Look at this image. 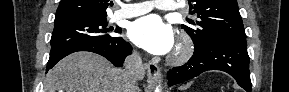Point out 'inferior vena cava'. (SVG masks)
<instances>
[{
	"label": "inferior vena cava",
	"mask_w": 289,
	"mask_h": 92,
	"mask_svg": "<svg viewBox=\"0 0 289 92\" xmlns=\"http://www.w3.org/2000/svg\"><path fill=\"white\" fill-rule=\"evenodd\" d=\"M124 65L126 88L130 90L134 89L137 81L142 80L145 75V69L140 54L133 52L131 55L126 57Z\"/></svg>",
	"instance_id": "obj_1"
}]
</instances>
